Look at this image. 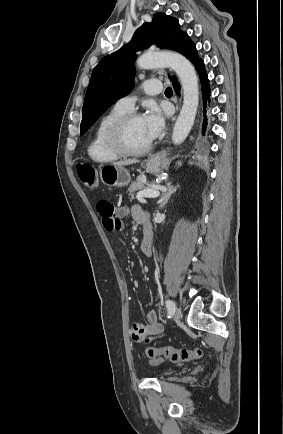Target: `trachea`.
Here are the masks:
<instances>
[{
	"label": "trachea",
	"instance_id": "1",
	"mask_svg": "<svg viewBox=\"0 0 283 434\" xmlns=\"http://www.w3.org/2000/svg\"><path fill=\"white\" fill-rule=\"evenodd\" d=\"M172 93H173V92H172L171 87H167L166 90H165V94H166V95H171Z\"/></svg>",
	"mask_w": 283,
	"mask_h": 434
}]
</instances>
